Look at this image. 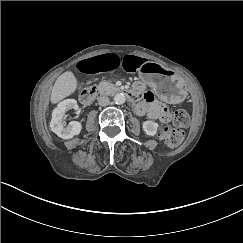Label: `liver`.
I'll use <instances>...</instances> for the list:
<instances>
[{
	"instance_id": "liver-1",
	"label": "liver",
	"mask_w": 243,
	"mask_h": 243,
	"mask_svg": "<svg viewBox=\"0 0 243 243\" xmlns=\"http://www.w3.org/2000/svg\"><path fill=\"white\" fill-rule=\"evenodd\" d=\"M77 88V80L71 71L61 74L51 92V103L55 104L71 95Z\"/></svg>"
}]
</instances>
